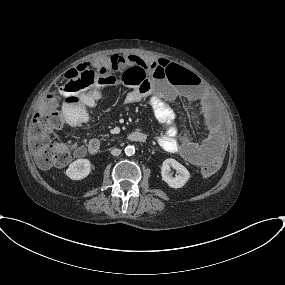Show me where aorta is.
Wrapping results in <instances>:
<instances>
[{"instance_id":"obj_1","label":"aorta","mask_w":285,"mask_h":285,"mask_svg":"<svg viewBox=\"0 0 285 285\" xmlns=\"http://www.w3.org/2000/svg\"><path fill=\"white\" fill-rule=\"evenodd\" d=\"M125 154L127 155V156H132V155H134L135 154V148H134V146H127L126 148H125Z\"/></svg>"}]
</instances>
